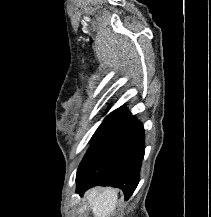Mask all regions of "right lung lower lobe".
Segmentation results:
<instances>
[{
	"instance_id": "98d812e1",
	"label": "right lung lower lobe",
	"mask_w": 211,
	"mask_h": 217,
	"mask_svg": "<svg viewBox=\"0 0 211 217\" xmlns=\"http://www.w3.org/2000/svg\"><path fill=\"white\" fill-rule=\"evenodd\" d=\"M144 127L130 112L115 119L87 151L76 175V192L90 187L120 188L128 200L139 183L144 157Z\"/></svg>"
}]
</instances>
